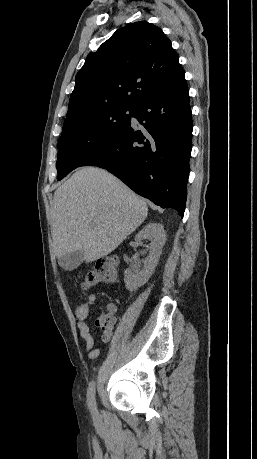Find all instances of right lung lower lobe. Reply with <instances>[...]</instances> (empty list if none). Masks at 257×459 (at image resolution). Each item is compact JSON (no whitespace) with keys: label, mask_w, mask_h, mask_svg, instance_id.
Returning a JSON list of instances; mask_svg holds the SVG:
<instances>
[{"label":"right lung lower lobe","mask_w":257,"mask_h":459,"mask_svg":"<svg viewBox=\"0 0 257 459\" xmlns=\"http://www.w3.org/2000/svg\"><path fill=\"white\" fill-rule=\"evenodd\" d=\"M133 117L138 128L130 123L113 143L80 166L107 169L139 195L183 217L192 140L184 73L142 100Z\"/></svg>","instance_id":"98d812e1"}]
</instances>
